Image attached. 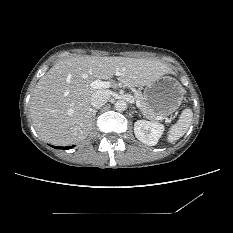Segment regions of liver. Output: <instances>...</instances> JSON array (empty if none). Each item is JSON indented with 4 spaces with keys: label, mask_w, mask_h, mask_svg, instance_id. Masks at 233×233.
<instances>
[{
    "label": "liver",
    "mask_w": 233,
    "mask_h": 233,
    "mask_svg": "<svg viewBox=\"0 0 233 233\" xmlns=\"http://www.w3.org/2000/svg\"><path fill=\"white\" fill-rule=\"evenodd\" d=\"M172 73L159 60L129 57L74 56L60 60L38 81L30 102L33 125L45 141L67 146L92 130L91 96L95 80L119 76L128 87H143Z\"/></svg>",
    "instance_id": "6515ba94"
}]
</instances>
